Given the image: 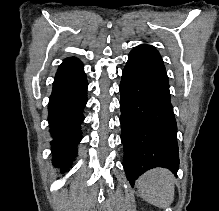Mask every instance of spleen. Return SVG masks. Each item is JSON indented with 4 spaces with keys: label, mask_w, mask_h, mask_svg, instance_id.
I'll use <instances>...</instances> for the list:
<instances>
[{
    "label": "spleen",
    "mask_w": 219,
    "mask_h": 211,
    "mask_svg": "<svg viewBox=\"0 0 219 211\" xmlns=\"http://www.w3.org/2000/svg\"><path fill=\"white\" fill-rule=\"evenodd\" d=\"M173 175L166 167L149 169L137 179L138 191L148 203L157 207H166L174 199Z\"/></svg>",
    "instance_id": "1"
}]
</instances>
